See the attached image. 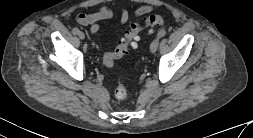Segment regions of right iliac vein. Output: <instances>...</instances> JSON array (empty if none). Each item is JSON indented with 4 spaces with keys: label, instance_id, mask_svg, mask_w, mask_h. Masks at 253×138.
Instances as JSON below:
<instances>
[{
    "label": "right iliac vein",
    "instance_id": "obj_1",
    "mask_svg": "<svg viewBox=\"0 0 253 138\" xmlns=\"http://www.w3.org/2000/svg\"><path fill=\"white\" fill-rule=\"evenodd\" d=\"M78 36H79L80 39H84L85 38V35H84V33H83L82 30L78 31Z\"/></svg>",
    "mask_w": 253,
    "mask_h": 138
}]
</instances>
